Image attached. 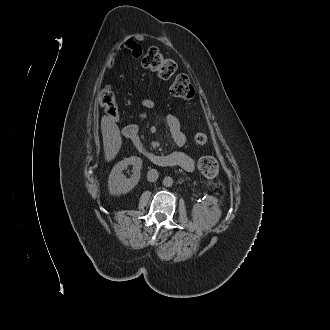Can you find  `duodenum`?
Listing matches in <instances>:
<instances>
[{"mask_svg":"<svg viewBox=\"0 0 330 330\" xmlns=\"http://www.w3.org/2000/svg\"><path fill=\"white\" fill-rule=\"evenodd\" d=\"M134 128L132 126H127L124 131V135L128 139H135L137 137V132L133 130ZM137 144L140 146V148L143 150V146L140 144L139 141H137ZM147 156L149 159L154 163L159 166H171L169 164L168 158L165 155H158V154H153L146 152Z\"/></svg>","mask_w":330,"mask_h":330,"instance_id":"duodenum-1","label":"duodenum"}]
</instances>
